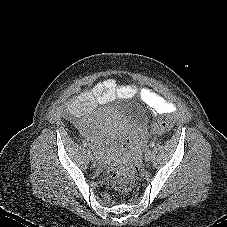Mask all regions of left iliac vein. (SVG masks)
<instances>
[{"label": "left iliac vein", "instance_id": "left-iliac-vein-1", "mask_svg": "<svg viewBox=\"0 0 227 227\" xmlns=\"http://www.w3.org/2000/svg\"><path fill=\"white\" fill-rule=\"evenodd\" d=\"M145 161H150L152 158H153V152L151 150H147L146 153H145Z\"/></svg>", "mask_w": 227, "mask_h": 227}]
</instances>
